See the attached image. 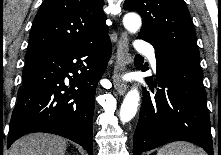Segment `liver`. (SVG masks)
Wrapping results in <instances>:
<instances>
[{
    "label": "liver",
    "mask_w": 221,
    "mask_h": 155,
    "mask_svg": "<svg viewBox=\"0 0 221 155\" xmlns=\"http://www.w3.org/2000/svg\"><path fill=\"white\" fill-rule=\"evenodd\" d=\"M66 140L52 134L33 133L18 139L9 155H65Z\"/></svg>",
    "instance_id": "1"
}]
</instances>
